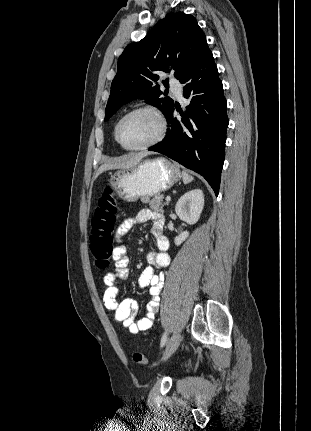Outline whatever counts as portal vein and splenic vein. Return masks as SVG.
Segmentation results:
<instances>
[{"instance_id":"1","label":"portal vein and splenic vein","mask_w":311,"mask_h":431,"mask_svg":"<svg viewBox=\"0 0 311 431\" xmlns=\"http://www.w3.org/2000/svg\"><path fill=\"white\" fill-rule=\"evenodd\" d=\"M170 200H171L170 196H167L166 202H170Z\"/></svg>"}]
</instances>
